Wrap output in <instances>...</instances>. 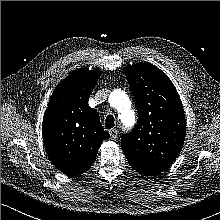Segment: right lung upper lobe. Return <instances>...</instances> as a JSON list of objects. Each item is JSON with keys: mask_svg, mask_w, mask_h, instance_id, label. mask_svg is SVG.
I'll list each match as a JSON object with an SVG mask.
<instances>
[{"mask_svg": "<svg viewBox=\"0 0 220 220\" xmlns=\"http://www.w3.org/2000/svg\"><path fill=\"white\" fill-rule=\"evenodd\" d=\"M101 71L77 69L57 85L46 109L43 142L53 165L69 176H77L93 164L104 139L97 111L88 105Z\"/></svg>", "mask_w": 220, "mask_h": 220, "instance_id": "obj_1", "label": "right lung upper lobe"}]
</instances>
